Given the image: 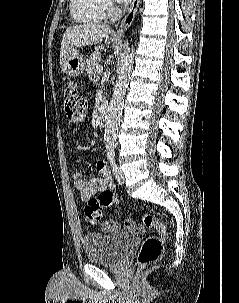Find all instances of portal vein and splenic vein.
I'll use <instances>...</instances> for the list:
<instances>
[{
	"instance_id": "portal-vein-and-splenic-vein-1",
	"label": "portal vein and splenic vein",
	"mask_w": 239,
	"mask_h": 303,
	"mask_svg": "<svg viewBox=\"0 0 239 303\" xmlns=\"http://www.w3.org/2000/svg\"><path fill=\"white\" fill-rule=\"evenodd\" d=\"M96 68H97V73H98V74H101L102 71H103V67H102L101 65H99V66H97Z\"/></svg>"
}]
</instances>
